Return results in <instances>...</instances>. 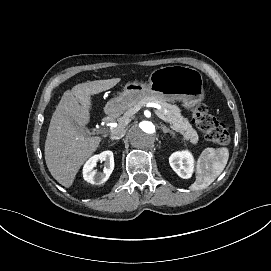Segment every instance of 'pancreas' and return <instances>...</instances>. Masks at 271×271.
Returning a JSON list of instances; mask_svg holds the SVG:
<instances>
[{"label":"pancreas","mask_w":271,"mask_h":271,"mask_svg":"<svg viewBox=\"0 0 271 271\" xmlns=\"http://www.w3.org/2000/svg\"><path fill=\"white\" fill-rule=\"evenodd\" d=\"M155 102L161 106L158 112L164 116L172 125L173 129L180 132L186 140L196 144L198 135L195 129L192 128L189 121L184 118L178 109H173L172 106L162 100L150 97L148 102ZM135 109H129L122 117L118 118V129L124 128L132 118H134Z\"/></svg>","instance_id":"cf45deb5"}]
</instances>
